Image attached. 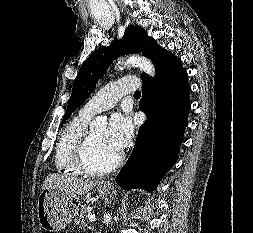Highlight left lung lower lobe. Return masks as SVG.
I'll list each match as a JSON object with an SVG mask.
<instances>
[{
    "label": "left lung lower lobe",
    "mask_w": 253,
    "mask_h": 233,
    "mask_svg": "<svg viewBox=\"0 0 253 233\" xmlns=\"http://www.w3.org/2000/svg\"><path fill=\"white\" fill-rule=\"evenodd\" d=\"M155 77L145 73L139 109L147 121L139 128L134 149L116 177L124 189L154 191L178 159L190 109L188 75L181 60L163 50L153 63Z\"/></svg>",
    "instance_id": "left-lung-lower-lobe-1"
}]
</instances>
